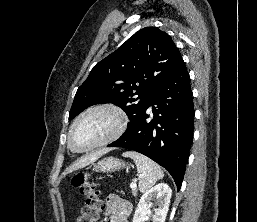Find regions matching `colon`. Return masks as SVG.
<instances>
[{"mask_svg": "<svg viewBox=\"0 0 257 222\" xmlns=\"http://www.w3.org/2000/svg\"><path fill=\"white\" fill-rule=\"evenodd\" d=\"M71 184L78 188L85 197V205L77 216L76 222H97L102 209V201L96 184L84 172L74 174Z\"/></svg>", "mask_w": 257, "mask_h": 222, "instance_id": "5ec220e1", "label": "colon"}]
</instances>
